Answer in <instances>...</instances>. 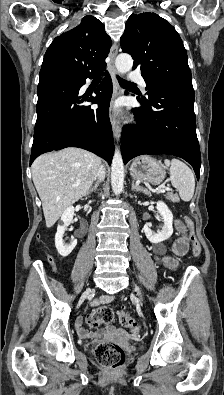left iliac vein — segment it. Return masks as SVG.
I'll return each instance as SVG.
<instances>
[{"label":"left iliac vein","mask_w":224,"mask_h":395,"mask_svg":"<svg viewBox=\"0 0 224 395\" xmlns=\"http://www.w3.org/2000/svg\"><path fill=\"white\" fill-rule=\"evenodd\" d=\"M135 291L137 292V295L139 296V300L141 302H143L142 292H141L140 288L138 286H136V285H135Z\"/></svg>","instance_id":"obj_1"}]
</instances>
